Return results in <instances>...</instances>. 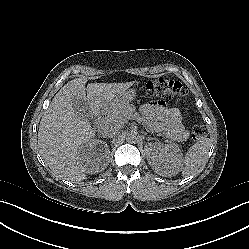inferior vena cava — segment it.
Wrapping results in <instances>:
<instances>
[{
    "instance_id": "602c4592",
    "label": "inferior vena cava",
    "mask_w": 249,
    "mask_h": 249,
    "mask_svg": "<svg viewBox=\"0 0 249 249\" xmlns=\"http://www.w3.org/2000/svg\"><path fill=\"white\" fill-rule=\"evenodd\" d=\"M116 131H117L116 128L114 126H111L106 131H104V135H106V136H112L113 134L116 133ZM95 143H97V142L95 141Z\"/></svg>"
}]
</instances>
